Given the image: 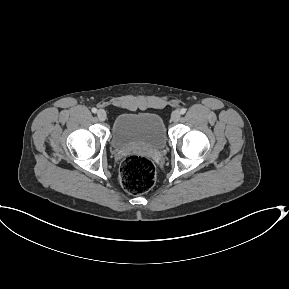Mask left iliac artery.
<instances>
[{"instance_id": "1", "label": "left iliac artery", "mask_w": 289, "mask_h": 289, "mask_svg": "<svg viewBox=\"0 0 289 289\" xmlns=\"http://www.w3.org/2000/svg\"><path fill=\"white\" fill-rule=\"evenodd\" d=\"M180 113H181V114H185V113H186V108H182V109L180 110Z\"/></svg>"}]
</instances>
